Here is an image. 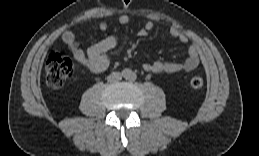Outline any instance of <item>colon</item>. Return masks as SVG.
<instances>
[{
	"label": "colon",
	"instance_id": "1",
	"mask_svg": "<svg viewBox=\"0 0 259 156\" xmlns=\"http://www.w3.org/2000/svg\"><path fill=\"white\" fill-rule=\"evenodd\" d=\"M74 71V65L69 57L58 52H50L44 61V74L46 84L52 88H60L70 78ZM204 85V78L194 76L189 86L191 89H199Z\"/></svg>",
	"mask_w": 259,
	"mask_h": 156
}]
</instances>
